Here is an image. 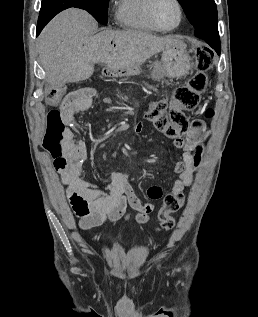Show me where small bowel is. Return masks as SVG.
I'll return each instance as SVG.
<instances>
[{
    "instance_id": "1",
    "label": "small bowel",
    "mask_w": 258,
    "mask_h": 317,
    "mask_svg": "<svg viewBox=\"0 0 258 317\" xmlns=\"http://www.w3.org/2000/svg\"><path fill=\"white\" fill-rule=\"evenodd\" d=\"M93 95L94 90L91 88L71 92L61 103L60 109L72 121L76 115L91 107ZM135 129L137 133L142 132L143 124L138 123ZM207 134L206 124L200 119H195L189 132L174 140V146L179 152L172 168L177 178L169 185L172 194L181 193L185 187L193 183L194 173L202 162ZM87 153L86 143L74 140L73 134L59 153L51 152L70 206L79 219V226L86 230L128 218V208L137 211V222H148L155 205L141 202L126 175L112 172L108 183L104 185L84 179L83 164L87 159ZM162 193V188L157 185L147 190L148 197L153 200L161 198Z\"/></svg>"
}]
</instances>
